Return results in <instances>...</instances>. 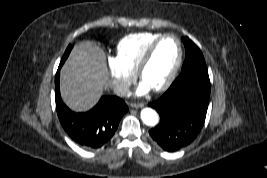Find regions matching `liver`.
<instances>
[{"mask_svg": "<svg viewBox=\"0 0 267 178\" xmlns=\"http://www.w3.org/2000/svg\"><path fill=\"white\" fill-rule=\"evenodd\" d=\"M104 51L91 41L75 45L61 69L60 90L65 103L75 111L90 109L108 85Z\"/></svg>", "mask_w": 267, "mask_h": 178, "instance_id": "obj_1", "label": "liver"}]
</instances>
